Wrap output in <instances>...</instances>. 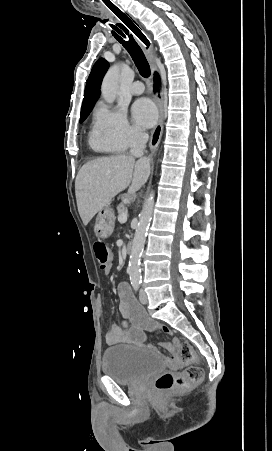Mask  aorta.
Returning a JSON list of instances; mask_svg holds the SVG:
<instances>
[{
  "label": "aorta",
  "mask_w": 272,
  "mask_h": 451,
  "mask_svg": "<svg viewBox=\"0 0 272 451\" xmlns=\"http://www.w3.org/2000/svg\"><path fill=\"white\" fill-rule=\"evenodd\" d=\"M118 78L119 66L114 64V66L109 68L107 74H105L101 86L102 98H104L107 104H113L116 98ZM154 198V192H150L139 216V224L132 241L128 267L131 281H141L140 257L145 243L147 227L149 226V222H151L153 214Z\"/></svg>",
  "instance_id": "aorta-1"
}]
</instances>
